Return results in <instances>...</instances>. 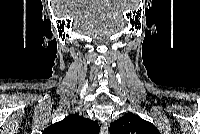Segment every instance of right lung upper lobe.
Segmentation results:
<instances>
[{
	"label": "right lung upper lobe",
	"instance_id": "cb5924a9",
	"mask_svg": "<svg viewBox=\"0 0 200 134\" xmlns=\"http://www.w3.org/2000/svg\"><path fill=\"white\" fill-rule=\"evenodd\" d=\"M98 132L97 123L78 114L69 115L44 131L45 134H97Z\"/></svg>",
	"mask_w": 200,
	"mask_h": 134
}]
</instances>
